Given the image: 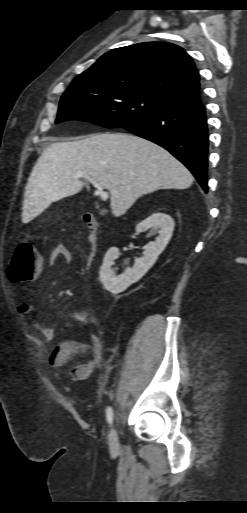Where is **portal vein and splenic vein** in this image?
Returning a JSON list of instances; mask_svg holds the SVG:
<instances>
[{"instance_id":"18ae733b","label":"portal vein and splenic vein","mask_w":247,"mask_h":513,"mask_svg":"<svg viewBox=\"0 0 247 513\" xmlns=\"http://www.w3.org/2000/svg\"><path fill=\"white\" fill-rule=\"evenodd\" d=\"M73 178L74 179H78V178H86L88 179L92 184L93 186L97 189L96 190V194L100 196V198L103 200V201H106L107 198H108V192L107 191H104L103 190V186L101 184H99L98 182H96L95 180H93L90 176L84 174L83 172H76L74 175H73Z\"/></svg>"}]
</instances>
